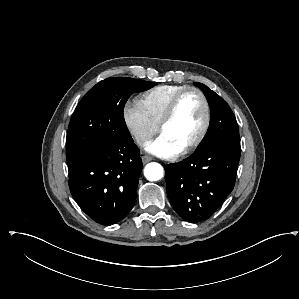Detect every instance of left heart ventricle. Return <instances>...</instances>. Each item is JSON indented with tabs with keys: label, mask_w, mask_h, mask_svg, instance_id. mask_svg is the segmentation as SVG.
Returning a JSON list of instances; mask_svg holds the SVG:
<instances>
[{
	"label": "left heart ventricle",
	"mask_w": 299,
	"mask_h": 299,
	"mask_svg": "<svg viewBox=\"0 0 299 299\" xmlns=\"http://www.w3.org/2000/svg\"><path fill=\"white\" fill-rule=\"evenodd\" d=\"M204 120V106L196 93L185 95L177 108L172 121L161 134L173 144L183 149L198 134Z\"/></svg>",
	"instance_id": "1"
}]
</instances>
